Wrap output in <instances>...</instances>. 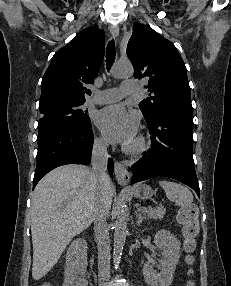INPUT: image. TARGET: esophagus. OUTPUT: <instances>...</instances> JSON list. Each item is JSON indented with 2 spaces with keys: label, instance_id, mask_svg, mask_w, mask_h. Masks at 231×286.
<instances>
[{
  "label": "esophagus",
  "instance_id": "34e87169",
  "mask_svg": "<svg viewBox=\"0 0 231 286\" xmlns=\"http://www.w3.org/2000/svg\"><path fill=\"white\" fill-rule=\"evenodd\" d=\"M110 33L112 37L117 38L119 35V28L116 25L110 26ZM114 170H115V176L116 180L120 185H126L129 181L130 174L125 166L124 163L115 161L114 163Z\"/></svg>",
  "mask_w": 231,
  "mask_h": 286
}]
</instances>
